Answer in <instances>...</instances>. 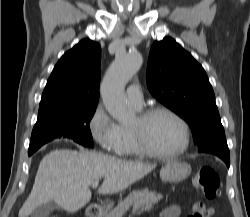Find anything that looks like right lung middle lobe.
I'll list each match as a JSON object with an SVG mask.
<instances>
[{
    "label": "right lung middle lobe",
    "instance_id": "1",
    "mask_svg": "<svg viewBox=\"0 0 250 217\" xmlns=\"http://www.w3.org/2000/svg\"><path fill=\"white\" fill-rule=\"evenodd\" d=\"M97 105L76 106L38 114L33 128L28 155L55 138H70L75 142L93 147L89 123Z\"/></svg>",
    "mask_w": 250,
    "mask_h": 217
}]
</instances>
